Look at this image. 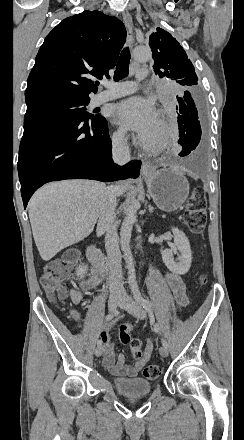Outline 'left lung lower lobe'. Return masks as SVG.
<instances>
[{
	"label": "left lung lower lobe",
	"instance_id": "1",
	"mask_svg": "<svg viewBox=\"0 0 244 440\" xmlns=\"http://www.w3.org/2000/svg\"><path fill=\"white\" fill-rule=\"evenodd\" d=\"M177 97L178 125L180 140L178 144L183 147L179 156H186L193 151L201 139L200 126V101L195 90L184 91Z\"/></svg>",
	"mask_w": 244,
	"mask_h": 440
}]
</instances>
